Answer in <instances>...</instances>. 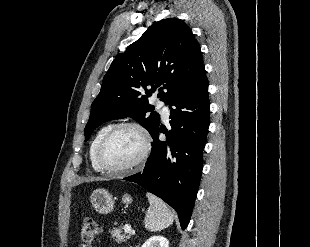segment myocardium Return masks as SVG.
Here are the masks:
<instances>
[{"label":"myocardium","mask_w":310,"mask_h":247,"mask_svg":"<svg viewBox=\"0 0 310 247\" xmlns=\"http://www.w3.org/2000/svg\"><path fill=\"white\" fill-rule=\"evenodd\" d=\"M126 128L134 129L140 134V136L142 138V150H141L139 156L130 164H128L124 167H120V168H109L102 161V158H101L102 151H103L105 145L107 144V142L109 141V139L113 135H115L120 130L126 129ZM150 151H151V137H150L148 130L143 125H141L137 122L125 121V122H121V123L114 125L103 136V138L101 139V141L99 142V144L97 146L96 154H95V160H96L98 167L102 171L106 172L109 175L117 176V175H123V174L129 173V172H132L133 170L141 167L145 163V161L147 160V158L150 154Z\"/></svg>","instance_id":"f54148a6"}]
</instances>
